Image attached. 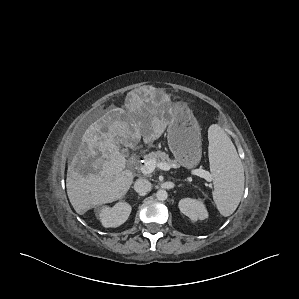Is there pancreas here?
<instances>
[{"label": "pancreas", "mask_w": 299, "mask_h": 299, "mask_svg": "<svg viewBox=\"0 0 299 299\" xmlns=\"http://www.w3.org/2000/svg\"><path fill=\"white\" fill-rule=\"evenodd\" d=\"M155 160L157 163L162 162L168 164L170 167H178L175 160L170 159L169 155L162 151L151 152L145 157V162Z\"/></svg>", "instance_id": "cf45deb5"}]
</instances>
